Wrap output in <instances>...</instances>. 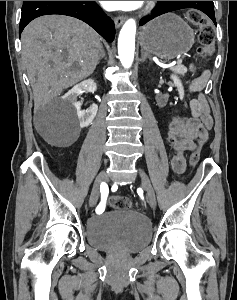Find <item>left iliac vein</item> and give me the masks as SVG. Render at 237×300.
Segmentation results:
<instances>
[{"label": "left iliac vein", "instance_id": "4c4485c4", "mask_svg": "<svg viewBox=\"0 0 237 300\" xmlns=\"http://www.w3.org/2000/svg\"><path fill=\"white\" fill-rule=\"evenodd\" d=\"M139 175L142 179V188L147 193V198L150 203V206L152 208H155L156 207V199H155V194H154V190L152 188L151 182H150L149 178L146 176V174L141 169H139Z\"/></svg>", "mask_w": 237, "mask_h": 300}]
</instances>
